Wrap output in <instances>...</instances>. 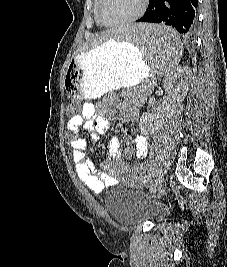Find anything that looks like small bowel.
Listing matches in <instances>:
<instances>
[{"mask_svg": "<svg viewBox=\"0 0 227 267\" xmlns=\"http://www.w3.org/2000/svg\"><path fill=\"white\" fill-rule=\"evenodd\" d=\"M125 118L136 121L139 115L138 104L129 100L124 101ZM108 110L98 108L92 103L82 106L80 115L71 116L66 123L64 134L72 148V159L78 178L92 191L101 192L105 187L117 183L116 177L111 174H99L94 164L86 157L87 140L81 136L80 127L90 133L92 140L105 134L110 127ZM126 146L133 151L138 159H144L148 154V141L142 134H135L126 141ZM109 151L114 159L120 158L121 141L112 138L109 142Z\"/></svg>", "mask_w": 227, "mask_h": 267, "instance_id": "c3829d8e", "label": "small bowel"}]
</instances>
